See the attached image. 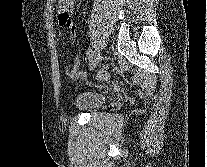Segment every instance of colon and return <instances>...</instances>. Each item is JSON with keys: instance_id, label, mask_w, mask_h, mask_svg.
<instances>
[{"instance_id": "1", "label": "colon", "mask_w": 207, "mask_h": 167, "mask_svg": "<svg viewBox=\"0 0 207 167\" xmlns=\"http://www.w3.org/2000/svg\"><path fill=\"white\" fill-rule=\"evenodd\" d=\"M97 80L106 81L109 78V72L106 70H101L97 73Z\"/></svg>"}]
</instances>
